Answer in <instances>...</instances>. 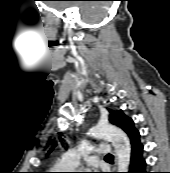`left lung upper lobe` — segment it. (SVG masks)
Returning <instances> with one entry per match:
<instances>
[{
    "mask_svg": "<svg viewBox=\"0 0 170 173\" xmlns=\"http://www.w3.org/2000/svg\"><path fill=\"white\" fill-rule=\"evenodd\" d=\"M109 121L120 127L130 138L131 146L140 142L139 131L134 127V122L131 118L127 117L121 110L111 111ZM51 151V150H50Z\"/></svg>",
    "mask_w": 170,
    "mask_h": 173,
    "instance_id": "left-lung-upper-lobe-1",
    "label": "left lung upper lobe"
}]
</instances>
